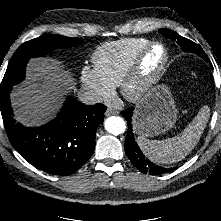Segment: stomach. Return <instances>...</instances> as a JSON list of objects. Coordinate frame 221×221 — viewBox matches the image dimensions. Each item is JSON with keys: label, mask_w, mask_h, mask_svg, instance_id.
<instances>
[{"label": "stomach", "mask_w": 221, "mask_h": 221, "mask_svg": "<svg viewBox=\"0 0 221 221\" xmlns=\"http://www.w3.org/2000/svg\"><path fill=\"white\" fill-rule=\"evenodd\" d=\"M177 114L169 87L160 84L148 90L136 104L133 127L141 136H157L174 126Z\"/></svg>", "instance_id": "obj_1"}]
</instances>
